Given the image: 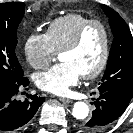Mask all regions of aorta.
Wrapping results in <instances>:
<instances>
[{
  "instance_id": "obj_1",
  "label": "aorta",
  "mask_w": 133,
  "mask_h": 133,
  "mask_svg": "<svg viewBox=\"0 0 133 133\" xmlns=\"http://www.w3.org/2000/svg\"><path fill=\"white\" fill-rule=\"evenodd\" d=\"M89 114V107L85 102L78 101L74 104L72 115L77 120H85Z\"/></svg>"
}]
</instances>
